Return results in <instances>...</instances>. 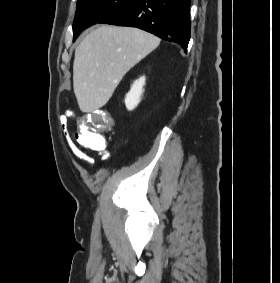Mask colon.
<instances>
[{"instance_id": "obj_1", "label": "colon", "mask_w": 280, "mask_h": 283, "mask_svg": "<svg viewBox=\"0 0 280 283\" xmlns=\"http://www.w3.org/2000/svg\"><path fill=\"white\" fill-rule=\"evenodd\" d=\"M66 113L73 114V111L68 110ZM80 118L93 119L97 127H89L88 121L79 120L75 132L76 142L84 148L102 152L107 143L105 137L99 132H112L115 123L108 122V119H112V114H109V110H84Z\"/></svg>"}]
</instances>
